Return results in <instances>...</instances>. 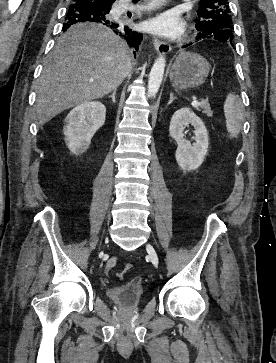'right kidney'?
<instances>
[{
  "label": "right kidney",
  "instance_id": "right-kidney-1",
  "mask_svg": "<svg viewBox=\"0 0 276 363\" xmlns=\"http://www.w3.org/2000/svg\"><path fill=\"white\" fill-rule=\"evenodd\" d=\"M105 106L98 101L86 102L73 108L65 119V142L74 155L84 153L96 131L103 126Z\"/></svg>",
  "mask_w": 276,
  "mask_h": 363
}]
</instances>
